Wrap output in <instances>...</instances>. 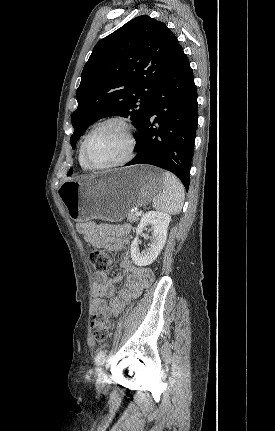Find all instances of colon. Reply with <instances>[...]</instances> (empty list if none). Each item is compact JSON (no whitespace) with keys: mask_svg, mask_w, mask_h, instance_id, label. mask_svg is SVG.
Masks as SVG:
<instances>
[{"mask_svg":"<svg viewBox=\"0 0 275 431\" xmlns=\"http://www.w3.org/2000/svg\"><path fill=\"white\" fill-rule=\"evenodd\" d=\"M92 266L98 272L105 271L113 260V255L106 249H92L89 252ZM110 323L102 314H95L90 322V333L94 340L103 342L108 338Z\"/></svg>","mask_w":275,"mask_h":431,"instance_id":"colon-1","label":"colon"}]
</instances>
